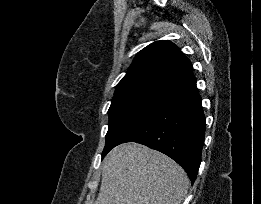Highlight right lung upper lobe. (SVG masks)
<instances>
[{
	"label": "right lung upper lobe",
	"instance_id": "1",
	"mask_svg": "<svg viewBox=\"0 0 261 204\" xmlns=\"http://www.w3.org/2000/svg\"><path fill=\"white\" fill-rule=\"evenodd\" d=\"M193 77L190 60L172 42L160 40L136 55L126 75L117 84L115 95L137 91L168 94Z\"/></svg>",
	"mask_w": 261,
	"mask_h": 204
}]
</instances>
